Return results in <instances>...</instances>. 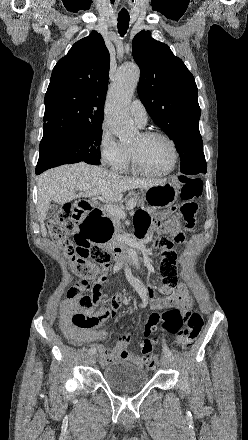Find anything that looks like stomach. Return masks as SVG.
<instances>
[{
    "instance_id": "1",
    "label": "stomach",
    "mask_w": 248,
    "mask_h": 440,
    "mask_svg": "<svg viewBox=\"0 0 248 440\" xmlns=\"http://www.w3.org/2000/svg\"><path fill=\"white\" fill-rule=\"evenodd\" d=\"M178 197V190L172 183L161 182L144 191V200L154 208L171 206ZM89 218H79L75 225V241H98V246H115V218H109V209H94Z\"/></svg>"
}]
</instances>
